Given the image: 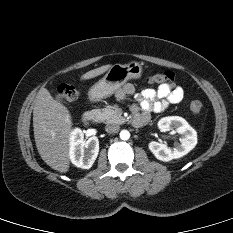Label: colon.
Masks as SVG:
<instances>
[{
	"mask_svg": "<svg viewBox=\"0 0 233 233\" xmlns=\"http://www.w3.org/2000/svg\"><path fill=\"white\" fill-rule=\"evenodd\" d=\"M147 81L150 84H166L172 86L175 82V74L172 71L154 73L148 77ZM57 92L68 101H73L78 97V92L75 87L69 84L59 85ZM190 109L194 115H198L202 110V103L199 100H194L190 104Z\"/></svg>",
	"mask_w": 233,
	"mask_h": 233,
	"instance_id": "obj_1",
	"label": "colon"
}]
</instances>
